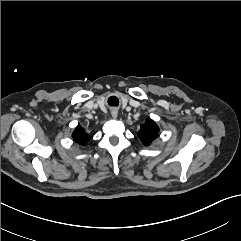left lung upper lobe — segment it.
Returning a JSON list of instances; mask_svg holds the SVG:
<instances>
[{
	"label": "left lung upper lobe",
	"mask_w": 241,
	"mask_h": 241,
	"mask_svg": "<svg viewBox=\"0 0 241 241\" xmlns=\"http://www.w3.org/2000/svg\"><path fill=\"white\" fill-rule=\"evenodd\" d=\"M158 132L159 128L156 123L151 119H147L145 124L141 126L138 136L143 144L148 146L158 136Z\"/></svg>",
	"instance_id": "1"
}]
</instances>
